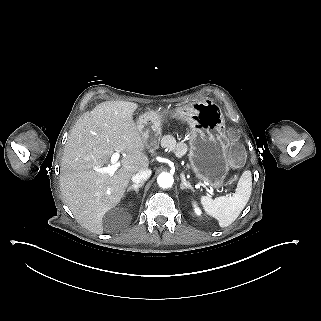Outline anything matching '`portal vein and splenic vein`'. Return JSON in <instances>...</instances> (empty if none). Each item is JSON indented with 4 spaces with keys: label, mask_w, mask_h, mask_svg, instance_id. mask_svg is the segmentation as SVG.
Listing matches in <instances>:
<instances>
[{
    "label": "portal vein and splenic vein",
    "mask_w": 321,
    "mask_h": 321,
    "mask_svg": "<svg viewBox=\"0 0 321 321\" xmlns=\"http://www.w3.org/2000/svg\"><path fill=\"white\" fill-rule=\"evenodd\" d=\"M120 155H121V151L117 150L116 152H114L112 154V157H111V163L113 165H111V166L108 165L106 167L95 168V171L98 172V173H103V174L104 173L113 174L117 170L118 164H116V162L119 160ZM200 186L204 187L206 189V191H208V193H210V195L213 198L216 196L212 190H209V188L207 186H205L204 183H200Z\"/></svg>",
    "instance_id": "18ae733b"
}]
</instances>
